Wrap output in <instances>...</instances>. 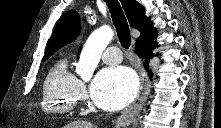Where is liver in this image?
<instances>
[{"label":"liver","instance_id":"6515ba94","mask_svg":"<svg viewBox=\"0 0 221 128\" xmlns=\"http://www.w3.org/2000/svg\"><path fill=\"white\" fill-rule=\"evenodd\" d=\"M65 128H93V125L85 121H75L66 125Z\"/></svg>","mask_w":221,"mask_h":128}]
</instances>
